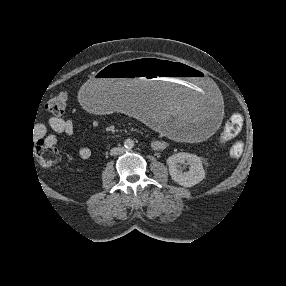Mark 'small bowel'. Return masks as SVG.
Masks as SVG:
<instances>
[{
    "mask_svg": "<svg viewBox=\"0 0 286 286\" xmlns=\"http://www.w3.org/2000/svg\"><path fill=\"white\" fill-rule=\"evenodd\" d=\"M93 126L96 127L97 123L94 122ZM51 129L54 133L47 134V129ZM75 130V123L72 119H63V118H57L53 117L50 118L46 124H38L35 127L34 135L36 137H43L46 136V140L51 144L57 143V136L56 134H62L65 136H70ZM167 146L166 141L164 140H158L154 143V147L157 149H164ZM79 157L86 160L89 159L92 155V151L88 147H82L79 152ZM231 154V153H230ZM239 154H231L232 157H238Z\"/></svg>",
    "mask_w": 286,
    "mask_h": 286,
    "instance_id": "1",
    "label": "small bowel"
}]
</instances>
